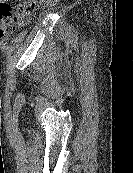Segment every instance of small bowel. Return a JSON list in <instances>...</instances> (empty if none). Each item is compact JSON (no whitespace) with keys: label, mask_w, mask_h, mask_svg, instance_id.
Returning <instances> with one entry per match:
<instances>
[{"label":"small bowel","mask_w":133,"mask_h":173,"mask_svg":"<svg viewBox=\"0 0 133 173\" xmlns=\"http://www.w3.org/2000/svg\"><path fill=\"white\" fill-rule=\"evenodd\" d=\"M30 19V15L29 14H22L19 19H18V23L19 24H25L26 22H28Z\"/></svg>","instance_id":"c3829d8e"}]
</instances>
